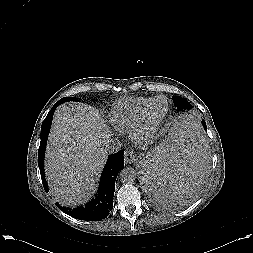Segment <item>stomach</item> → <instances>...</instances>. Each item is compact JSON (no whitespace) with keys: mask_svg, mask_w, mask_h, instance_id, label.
Instances as JSON below:
<instances>
[{"mask_svg":"<svg viewBox=\"0 0 253 253\" xmlns=\"http://www.w3.org/2000/svg\"><path fill=\"white\" fill-rule=\"evenodd\" d=\"M151 155H152V154L149 153L145 158H143V159L139 162V169H140L141 177H142L143 172H144V165H145V162L147 161V159H148Z\"/></svg>","mask_w":253,"mask_h":253,"instance_id":"obj_1","label":"stomach"}]
</instances>
